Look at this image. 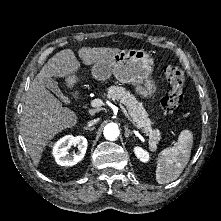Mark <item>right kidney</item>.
<instances>
[{"mask_svg": "<svg viewBox=\"0 0 221 221\" xmlns=\"http://www.w3.org/2000/svg\"><path fill=\"white\" fill-rule=\"evenodd\" d=\"M72 145H77L78 152L69 154L68 149ZM88 146L87 139L84 136L66 135L59 139L53 147V156L57 164L61 166H73L80 162L86 153Z\"/></svg>", "mask_w": 221, "mask_h": 221, "instance_id": "right-kidney-1", "label": "right kidney"}]
</instances>
